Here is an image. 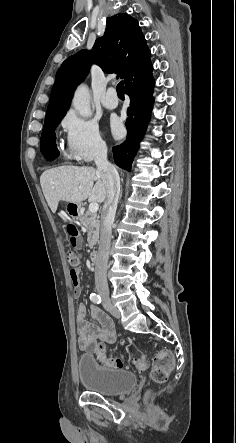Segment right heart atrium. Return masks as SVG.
Masks as SVG:
<instances>
[{
    "label": "right heart atrium",
    "instance_id": "right-heart-atrium-1",
    "mask_svg": "<svg viewBox=\"0 0 236 443\" xmlns=\"http://www.w3.org/2000/svg\"><path fill=\"white\" fill-rule=\"evenodd\" d=\"M65 151L67 159L78 163H89L104 154L106 144L97 124L69 110L63 120Z\"/></svg>",
    "mask_w": 236,
    "mask_h": 443
}]
</instances>
